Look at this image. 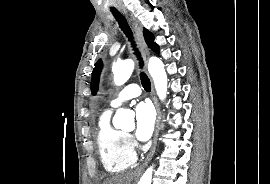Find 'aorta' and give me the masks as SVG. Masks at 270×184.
I'll list each match as a JSON object with an SVG mask.
<instances>
[{
	"label": "aorta",
	"mask_w": 270,
	"mask_h": 184,
	"mask_svg": "<svg viewBox=\"0 0 270 184\" xmlns=\"http://www.w3.org/2000/svg\"><path fill=\"white\" fill-rule=\"evenodd\" d=\"M133 70L134 61L131 59L115 63L112 67L114 83L123 85L130 78ZM148 71L154 81L157 95L161 100L165 99L168 79L163 62L157 57H151L148 63ZM113 125L118 129L134 128V112L123 108L118 109L113 119ZM152 172L153 166L145 171L138 184H151Z\"/></svg>",
	"instance_id": "obj_1"
}]
</instances>
